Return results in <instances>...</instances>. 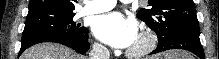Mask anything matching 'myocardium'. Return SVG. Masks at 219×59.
I'll return each instance as SVG.
<instances>
[{"label": "myocardium", "mask_w": 219, "mask_h": 59, "mask_svg": "<svg viewBox=\"0 0 219 59\" xmlns=\"http://www.w3.org/2000/svg\"><path fill=\"white\" fill-rule=\"evenodd\" d=\"M139 44L130 47L127 50V55L134 58H140L151 53L157 44V39L154 33L149 30H144L138 35Z\"/></svg>", "instance_id": "1"}]
</instances>
